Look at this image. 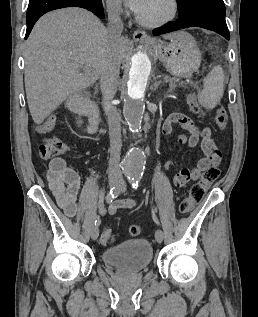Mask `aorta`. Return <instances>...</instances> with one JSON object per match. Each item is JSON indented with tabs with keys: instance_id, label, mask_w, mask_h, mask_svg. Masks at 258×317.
Returning a JSON list of instances; mask_svg holds the SVG:
<instances>
[{
	"instance_id": "obj_1",
	"label": "aorta",
	"mask_w": 258,
	"mask_h": 317,
	"mask_svg": "<svg viewBox=\"0 0 258 317\" xmlns=\"http://www.w3.org/2000/svg\"><path fill=\"white\" fill-rule=\"evenodd\" d=\"M151 72V62L145 52H138L131 61L127 92L124 99L123 113L125 120L133 132L141 128L145 104L147 81ZM145 165L143 152L138 148H132L122 162L124 174L132 179L141 177Z\"/></svg>"
}]
</instances>
